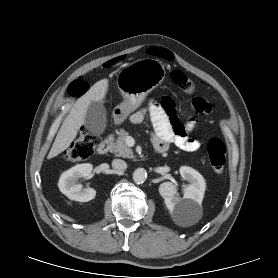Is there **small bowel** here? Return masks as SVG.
Here are the masks:
<instances>
[{
	"mask_svg": "<svg viewBox=\"0 0 278 278\" xmlns=\"http://www.w3.org/2000/svg\"><path fill=\"white\" fill-rule=\"evenodd\" d=\"M146 118L150 119L153 126L152 142L156 150L165 152L170 143L188 152L200 148L201 143L190 136L196 126V119L190 117L186 123H181L176 116L175 104L169 97H163L160 103L151 101L146 109L132 114L130 121L139 124Z\"/></svg>",
	"mask_w": 278,
	"mask_h": 278,
	"instance_id": "1",
	"label": "small bowel"
}]
</instances>
